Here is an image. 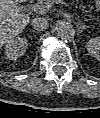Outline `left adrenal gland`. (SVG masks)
<instances>
[{
    "label": "left adrenal gland",
    "instance_id": "1",
    "mask_svg": "<svg viewBox=\"0 0 100 118\" xmlns=\"http://www.w3.org/2000/svg\"><path fill=\"white\" fill-rule=\"evenodd\" d=\"M87 28H88V26L82 24L81 22L78 23V24H77V30H78L77 33H78V35H79L81 32H83V30H85V29H87Z\"/></svg>",
    "mask_w": 100,
    "mask_h": 118
}]
</instances>
